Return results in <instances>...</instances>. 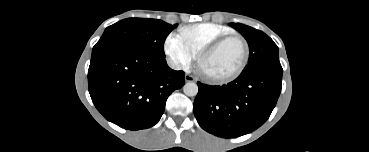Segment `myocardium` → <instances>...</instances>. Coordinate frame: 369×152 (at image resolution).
I'll return each instance as SVG.
<instances>
[{"label": "myocardium", "mask_w": 369, "mask_h": 152, "mask_svg": "<svg viewBox=\"0 0 369 152\" xmlns=\"http://www.w3.org/2000/svg\"><path fill=\"white\" fill-rule=\"evenodd\" d=\"M231 40H238V41L241 42V44L243 46V49H244L243 60L240 64V66L234 72H232V73H230L229 75H226V76L214 77V76H210V75H207L204 72H202L204 77L211 83L224 84V83H228V82H231V81L235 80L236 78H238L243 73V71L245 70V68H246V66L249 62L250 49H249V45H248L247 41L240 35L230 34V35H225V36H222V37L214 40L213 42H211L210 44H208L206 47H204L201 50V52L199 53V58H198L199 66L201 65L204 58H206L208 55H210L211 53H213L214 51L219 49L222 45H224L225 43H227L228 41H231Z\"/></svg>", "instance_id": "obj_1"}]
</instances>
